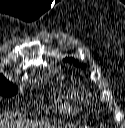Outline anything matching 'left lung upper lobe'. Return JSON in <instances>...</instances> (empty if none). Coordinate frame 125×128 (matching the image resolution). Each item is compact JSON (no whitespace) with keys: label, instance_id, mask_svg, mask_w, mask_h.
<instances>
[{"label":"left lung upper lobe","instance_id":"left-lung-upper-lobe-1","mask_svg":"<svg viewBox=\"0 0 125 128\" xmlns=\"http://www.w3.org/2000/svg\"><path fill=\"white\" fill-rule=\"evenodd\" d=\"M64 60H65V61H69L70 63L73 62L74 65L81 66V64H79V62H78L77 60L73 59V58H69V57H68V58H65Z\"/></svg>","mask_w":125,"mask_h":128}]
</instances>
